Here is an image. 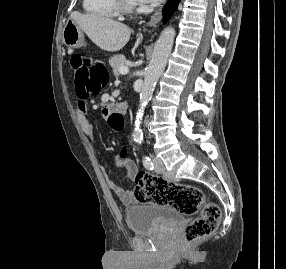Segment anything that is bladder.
Segmentation results:
<instances>
[{"label": "bladder", "instance_id": "31cf9c89", "mask_svg": "<svg viewBox=\"0 0 286 269\" xmlns=\"http://www.w3.org/2000/svg\"><path fill=\"white\" fill-rule=\"evenodd\" d=\"M125 218L133 234L145 235L179 223L182 214L166 205L141 204L126 208Z\"/></svg>", "mask_w": 286, "mask_h": 269}]
</instances>
